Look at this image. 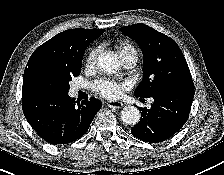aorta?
<instances>
[{
    "label": "aorta",
    "instance_id": "762f6f07",
    "mask_svg": "<svg viewBox=\"0 0 224 175\" xmlns=\"http://www.w3.org/2000/svg\"><path fill=\"white\" fill-rule=\"evenodd\" d=\"M98 67L104 73H115L120 68V61L112 52H105L98 58ZM141 117L140 111L135 106H125L121 111V120L129 125H135Z\"/></svg>",
    "mask_w": 224,
    "mask_h": 175
}]
</instances>
